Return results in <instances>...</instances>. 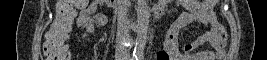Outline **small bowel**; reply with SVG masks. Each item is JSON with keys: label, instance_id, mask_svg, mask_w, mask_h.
I'll return each mask as SVG.
<instances>
[{"label": "small bowel", "instance_id": "small-bowel-1", "mask_svg": "<svg viewBox=\"0 0 267 60\" xmlns=\"http://www.w3.org/2000/svg\"><path fill=\"white\" fill-rule=\"evenodd\" d=\"M176 2L182 5L185 11L169 28L164 41V50L155 55L156 60H216L224 56V49L227 40L225 28L218 21L214 7L216 1H194L178 0L163 1L161 7H167L170 3ZM105 5L103 0L92 1L84 6H77L80 10L77 23L84 22L85 27L82 34L87 38L94 32L96 26H102L106 23V16L97 13L99 6ZM199 22L209 26V30L191 42L187 43L182 49L179 48L178 36L180 32L189 24ZM203 44H209L211 49L196 51Z\"/></svg>", "mask_w": 267, "mask_h": 60}]
</instances>
